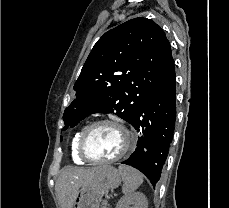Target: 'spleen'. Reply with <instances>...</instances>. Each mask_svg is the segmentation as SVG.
<instances>
[{"mask_svg": "<svg viewBox=\"0 0 229 208\" xmlns=\"http://www.w3.org/2000/svg\"><path fill=\"white\" fill-rule=\"evenodd\" d=\"M119 172L124 182L122 188L123 194H132L134 190H137V188L141 186L143 182V176L140 174V172H138V170H134V168H130V166L121 164V166H119Z\"/></svg>", "mask_w": 229, "mask_h": 208, "instance_id": "3e777b00", "label": "spleen"}]
</instances>
